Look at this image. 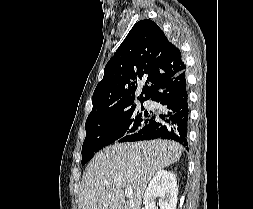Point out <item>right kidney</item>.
<instances>
[{"instance_id": "ca27d5eb", "label": "right kidney", "mask_w": 253, "mask_h": 209, "mask_svg": "<svg viewBox=\"0 0 253 209\" xmlns=\"http://www.w3.org/2000/svg\"><path fill=\"white\" fill-rule=\"evenodd\" d=\"M177 194L178 187L174 173L160 170L151 179L145 191L143 209H158L155 202L157 197H160V209H176Z\"/></svg>"}]
</instances>
